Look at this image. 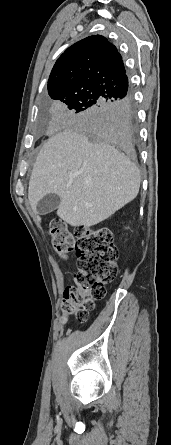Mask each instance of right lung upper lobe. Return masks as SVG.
<instances>
[{"mask_svg":"<svg viewBox=\"0 0 171 445\" xmlns=\"http://www.w3.org/2000/svg\"><path fill=\"white\" fill-rule=\"evenodd\" d=\"M69 90L95 92L105 100L130 96L122 57L105 37L82 39L56 61L48 80V93L56 98Z\"/></svg>","mask_w":171,"mask_h":445,"instance_id":"1","label":"right lung upper lobe"}]
</instances>
